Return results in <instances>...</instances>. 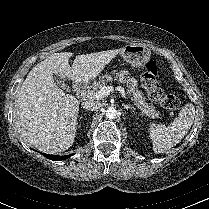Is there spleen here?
Here are the masks:
<instances>
[{"instance_id":"spleen-1","label":"spleen","mask_w":209,"mask_h":209,"mask_svg":"<svg viewBox=\"0 0 209 209\" xmlns=\"http://www.w3.org/2000/svg\"><path fill=\"white\" fill-rule=\"evenodd\" d=\"M195 117V108L187 103L169 126L150 124L149 133L155 153H164L178 144L191 128Z\"/></svg>"}]
</instances>
